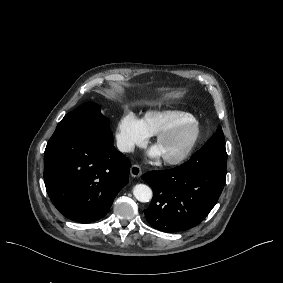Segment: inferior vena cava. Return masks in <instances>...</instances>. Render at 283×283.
Masks as SVG:
<instances>
[{"label":"inferior vena cava","instance_id":"inferior-vena-cava-1","mask_svg":"<svg viewBox=\"0 0 283 283\" xmlns=\"http://www.w3.org/2000/svg\"><path fill=\"white\" fill-rule=\"evenodd\" d=\"M117 147L121 152H130L133 150V144L128 141H117Z\"/></svg>","mask_w":283,"mask_h":283}]
</instances>
